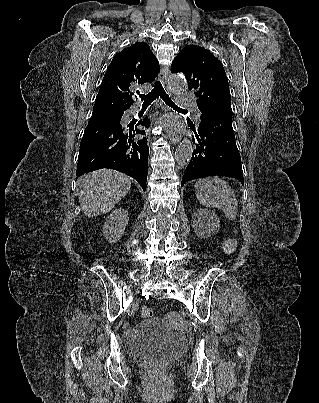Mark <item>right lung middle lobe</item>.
<instances>
[{
    "instance_id": "right-lung-middle-lobe-1",
    "label": "right lung middle lobe",
    "mask_w": 319,
    "mask_h": 403,
    "mask_svg": "<svg viewBox=\"0 0 319 403\" xmlns=\"http://www.w3.org/2000/svg\"><path fill=\"white\" fill-rule=\"evenodd\" d=\"M118 112H121V111H116V110L106 109V108H94L92 117L99 116V115L114 114V113H118Z\"/></svg>"
}]
</instances>
